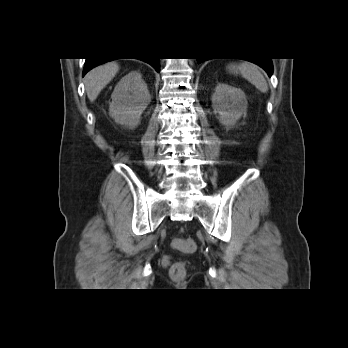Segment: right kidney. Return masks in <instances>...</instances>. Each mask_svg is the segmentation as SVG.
Returning a JSON list of instances; mask_svg holds the SVG:
<instances>
[{"mask_svg": "<svg viewBox=\"0 0 348 348\" xmlns=\"http://www.w3.org/2000/svg\"><path fill=\"white\" fill-rule=\"evenodd\" d=\"M111 99L109 115L116 123L132 129L139 125L151 95L141 73L132 71L118 82Z\"/></svg>", "mask_w": 348, "mask_h": 348, "instance_id": "right-kidney-1", "label": "right kidney"}]
</instances>
